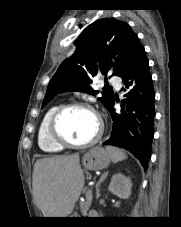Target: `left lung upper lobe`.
<instances>
[{
    "instance_id": "5c2ea615",
    "label": "left lung upper lobe",
    "mask_w": 181,
    "mask_h": 227,
    "mask_svg": "<svg viewBox=\"0 0 181 227\" xmlns=\"http://www.w3.org/2000/svg\"><path fill=\"white\" fill-rule=\"evenodd\" d=\"M138 43L137 35L126 22L104 18L90 24L76 39L75 54L62 62L50 80L42 107L67 90L98 94L89 86L91 77L99 72L107 75L110 71L120 76ZM102 94L99 100L108 108L114 100L113 91L110 89Z\"/></svg>"
}]
</instances>
